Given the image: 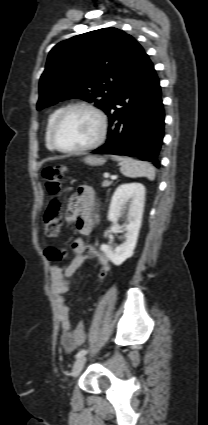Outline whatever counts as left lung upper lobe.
Returning <instances> with one entry per match:
<instances>
[{
    "label": "left lung upper lobe",
    "instance_id": "obj_1",
    "mask_svg": "<svg viewBox=\"0 0 208 425\" xmlns=\"http://www.w3.org/2000/svg\"><path fill=\"white\" fill-rule=\"evenodd\" d=\"M146 56L135 38L113 27L62 41L48 55L40 78L37 109L80 98L105 111Z\"/></svg>",
    "mask_w": 208,
    "mask_h": 425
}]
</instances>
